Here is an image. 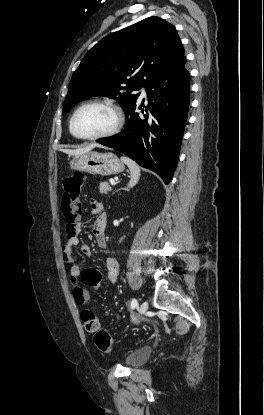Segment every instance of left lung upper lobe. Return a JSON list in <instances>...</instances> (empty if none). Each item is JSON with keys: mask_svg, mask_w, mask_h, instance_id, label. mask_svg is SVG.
<instances>
[{"mask_svg": "<svg viewBox=\"0 0 264 415\" xmlns=\"http://www.w3.org/2000/svg\"><path fill=\"white\" fill-rule=\"evenodd\" d=\"M183 56L175 27L159 17L114 32L90 49L74 71L63 115L92 96L113 98L125 111L139 96L133 91L168 71Z\"/></svg>", "mask_w": 264, "mask_h": 415, "instance_id": "5c2ea615", "label": "left lung upper lobe"}]
</instances>
